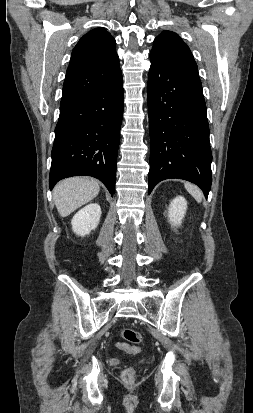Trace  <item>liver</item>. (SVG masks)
Listing matches in <instances>:
<instances>
[{
    "instance_id": "6515ba94",
    "label": "liver",
    "mask_w": 253,
    "mask_h": 413,
    "mask_svg": "<svg viewBox=\"0 0 253 413\" xmlns=\"http://www.w3.org/2000/svg\"><path fill=\"white\" fill-rule=\"evenodd\" d=\"M98 181L86 177H73L60 181L53 190V200L62 217L93 200L99 193Z\"/></svg>"
}]
</instances>
